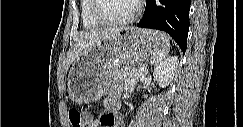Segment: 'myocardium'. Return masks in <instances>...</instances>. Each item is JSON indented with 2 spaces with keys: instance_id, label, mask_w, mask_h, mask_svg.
<instances>
[{
  "instance_id": "1",
  "label": "myocardium",
  "mask_w": 243,
  "mask_h": 127,
  "mask_svg": "<svg viewBox=\"0 0 243 127\" xmlns=\"http://www.w3.org/2000/svg\"><path fill=\"white\" fill-rule=\"evenodd\" d=\"M136 1V8L135 11L128 17L122 19H108L103 16L100 12V0H93V16L94 18L102 23L103 25L108 26H118V25H125L134 22L140 16L143 10V1L142 0H135Z\"/></svg>"
}]
</instances>
